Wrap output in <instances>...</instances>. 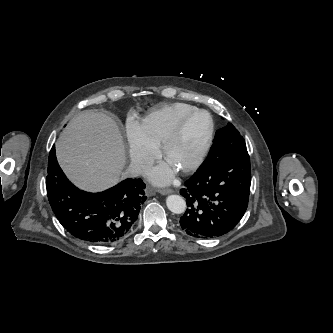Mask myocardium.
Segmentation results:
<instances>
[{
  "label": "myocardium",
  "instance_id": "myocardium-1",
  "mask_svg": "<svg viewBox=\"0 0 333 333\" xmlns=\"http://www.w3.org/2000/svg\"><path fill=\"white\" fill-rule=\"evenodd\" d=\"M197 114H205L208 117L209 127H208L206 135L202 141V144H201L197 154L193 158V160L191 162H189L187 165H185L179 169H176V171L180 174H188V173L196 170L204 161V159L210 149L212 140H213V135H214V130H215V123H214L213 116L207 110L199 109V108H196V109L186 113L184 116H182L180 118L178 123L175 125V127L173 128L171 133L168 135V137L162 144V155H163L164 159L167 160L173 147L181 140V137H182V134H183V131H184V128H185L187 122L193 116H195Z\"/></svg>",
  "mask_w": 333,
  "mask_h": 333
}]
</instances>
